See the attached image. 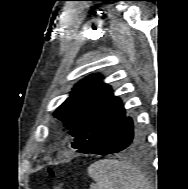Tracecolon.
Wrapping results in <instances>:
<instances>
[{
	"mask_svg": "<svg viewBox=\"0 0 188 189\" xmlns=\"http://www.w3.org/2000/svg\"><path fill=\"white\" fill-rule=\"evenodd\" d=\"M49 173L52 177L57 179L56 185L53 187V189H65V183L62 179H60L55 171L52 168H49Z\"/></svg>",
	"mask_w": 188,
	"mask_h": 189,
	"instance_id": "1",
	"label": "colon"
}]
</instances>
